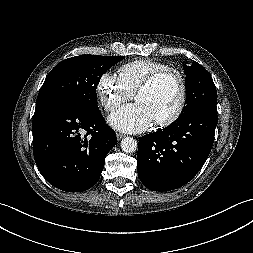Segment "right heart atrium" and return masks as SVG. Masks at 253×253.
Segmentation results:
<instances>
[{"label":"right heart atrium","mask_w":253,"mask_h":253,"mask_svg":"<svg viewBox=\"0 0 253 253\" xmlns=\"http://www.w3.org/2000/svg\"><path fill=\"white\" fill-rule=\"evenodd\" d=\"M100 104L108 112L115 111L121 104L132 98V93L119 80L118 76L104 73L97 83Z\"/></svg>","instance_id":"right-heart-atrium-1"}]
</instances>
